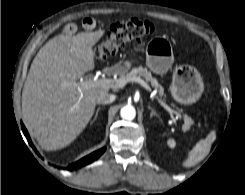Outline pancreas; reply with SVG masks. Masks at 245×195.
Here are the masks:
<instances>
[{"label":"pancreas","mask_w":245,"mask_h":195,"mask_svg":"<svg viewBox=\"0 0 245 195\" xmlns=\"http://www.w3.org/2000/svg\"><path fill=\"white\" fill-rule=\"evenodd\" d=\"M135 76H141L143 77L147 82H149L151 84L152 87L154 88H158L159 89V94L161 96H164V90L162 88V86L159 84V82L152 76V74L150 72L147 71L146 68H143L142 66L139 67H135L133 68L130 72H127L126 74H122L120 80H129L132 77ZM184 129L185 130H189L190 126L193 124V121L190 117L188 116H184Z\"/></svg>","instance_id":"obj_1"}]
</instances>
